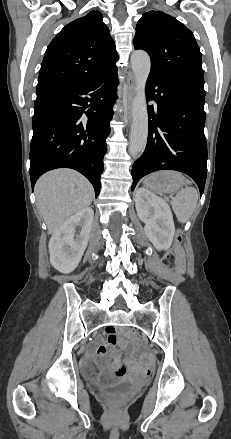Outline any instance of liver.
Masks as SVG:
<instances>
[{
  "mask_svg": "<svg viewBox=\"0 0 231 439\" xmlns=\"http://www.w3.org/2000/svg\"><path fill=\"white\" fill-rule=\"evenodd\" d=\"M35 194L48 233L54 234L66 220L91 204L94 190L80 173L57 169L39 178Z\"/></svg>",
  "mask_w": 231,
  "mask_h": 439,
  "instance_id": "liver-1",
  "label": "liver"
}]
</instances>
